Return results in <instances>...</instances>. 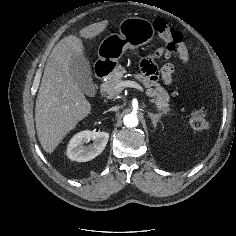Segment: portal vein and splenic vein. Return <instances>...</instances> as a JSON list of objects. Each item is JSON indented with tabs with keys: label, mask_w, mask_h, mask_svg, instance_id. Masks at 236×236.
Masks as SVG:
<instances>
[{
	"label": "portal vein and splenic vein",
	"mask_w": 236,
	"mask_h": 236,
	"mask_svg": "<svg viewBox=\"0 0 236 236\" xmlns=\"http://www.w3.org/2000/svg\"><path fill=\"white\" fill-rule=\"evenodd\" d=\"M125 87L136 88L142 92L144 91L143 87L135 81H130V80L121 81L116 85V89H123Z\"/></svg>",
	"instance_id": "1"
}]
</instances>
